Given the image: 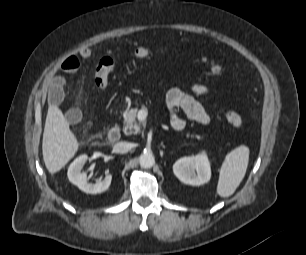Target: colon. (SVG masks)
Segmentation results:
<instances>
[{
	"label": "colon",
	"instance_id": "1",
	"mask_svg": "<svg viewBox=\"0 0 306 255\" xmlns=\"http://www.w3.org/2000/svg\"><path fill=\"white\" fill-rule=\"evenodd\" d=\"M134 55L137 59H145L149 55V49L146 46L140 45L135 48ZM210 67L213 74L221 72V67L216 63H210ZM115 68L116 62L110 57H104L99 61L95 72V81L100 88L108 86L110 76ZM222 113L227 122L233 127L241 128L245 126V119L235 111L224 109Z\"/></svg>",
	"mask_w": 306,
	"mask_h": 255
}]
</instances>
